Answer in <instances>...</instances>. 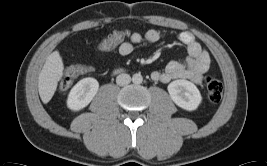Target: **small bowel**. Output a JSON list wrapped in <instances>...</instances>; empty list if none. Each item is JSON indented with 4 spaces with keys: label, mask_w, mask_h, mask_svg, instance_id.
<instances>
[{
    "label": "small bowel",
    "mask_w": 267,
    "mask_h": 166,
    "mask_svg": "<svg viewBox=\"0 0 267 166\" xmlns=\"http://www.w3.org/2000/svg\"><path fill=\"white\" fill-rule=\"evenodd\" d=\"M128 34L129 39L118 46V52L122 56L130 55L135 46L142 42L155 43L165 37L163 32L156 29H150L145 33L128 32ZM178 40L186 46V54L183 56L182 61H171L162 72H152V80L169 83L175 79H187L196 84L201 83L203 75L210 65L208 52L201 47L195 37L188 31L181 32L178 35ZM69 71H73L78 76L91 71V69H81L79 66H74Z\"/></svg>",
    "instance_id": "obj_1"
}]
</instances>
